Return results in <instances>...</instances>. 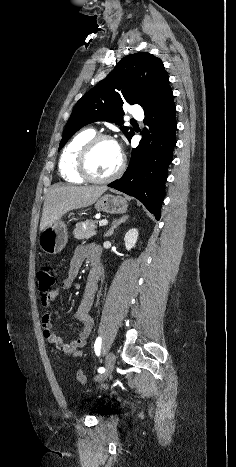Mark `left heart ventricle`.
Returning <instances> with one entry per match:
<instances>
[{
  "label": "left heart ventricle",
  "mask_w": 236,
  "mask_h": 467,
  "mask_svg": "<svg viewBox=\"0 0 236 467\" xmlns=\"http://www.w3.org/2000/svg\"><path fill=\"white\" fill-rule=\"evenodd\" d=\"M121 159V154L114 142H99L90 157V169L98 177H106L113 173Z\"/></svg>",
  "instance_id": "left-heart-ventricle-1"
}]
</instances>
